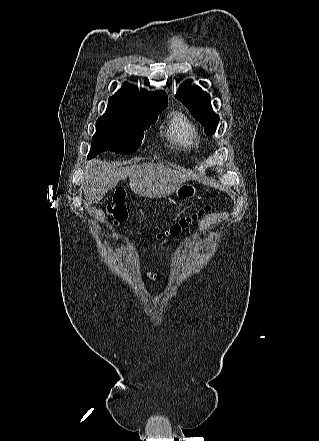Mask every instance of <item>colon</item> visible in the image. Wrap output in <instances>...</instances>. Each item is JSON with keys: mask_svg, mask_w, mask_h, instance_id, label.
<instances>
[{"mask_svg": "<svg viewBox=\"0 0 319 441\" xmlns=\"http://www.w3.org/2000/svg\"><path fill=\"white\" fill-rule=\"evenodd\" d=\"M125 193L124 191H118L115 193L113 197V202L107 206V213L111 217L112 222L115 225H118L124 222L127 219V210L125 206ZM211 209L210 205L205 206L204 208L198 210L194 214L181 218L177 222L171 224L165 231L166 235H176L180 233L182 229L187 227L190 222L196 220L198 217L202 216L205 212ZM159 237L162 234L158 235Z\"/></svg>", "mask_w": 319, "mask_h": 441, "instance_id": "obj_1", "label": "colon"}]
</instances>
